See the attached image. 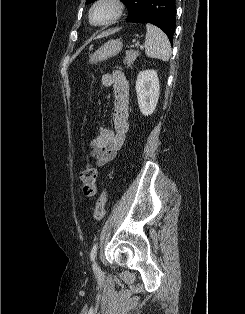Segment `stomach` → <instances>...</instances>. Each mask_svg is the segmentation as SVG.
I'll list each match as a JSON object with an SVG mask.
<instances>
[{
    "label": "stomach",
    "mask_w": 245,
    "mask_h": 314,
    "mask_svg": "<svg viewBox=\"0 0 245 314\" xmlns=\"http://www.w3.org/2000/svg\"><path fill=\"white\" fill-rule=\"evenodd\" d=\"M123 44L120 39H114L106 42L98 50L90 55L89 62L96 64L117 55L122 50Z\"/></svg>",
    "instance_id": "0dacf381"
}]
</instances>
